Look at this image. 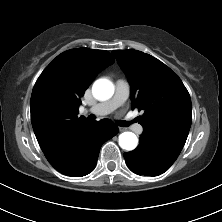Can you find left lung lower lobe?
Returning <instances> with one entry per match:
<instances>
[{
	"label": "left lung lower lobe",
	"instance_id": "1",
	"mask_svg": "<svg viewBox=\"0 0 222 222\" xmlns=\"http://www.w3.org/2000/svg\"><path fill=\"white\" fill-rule=\"evenodd\" d=\"M178 155L155 135H142L140 145L134 151L125 152L124 158L134 173L157 176L164 173Z\"/></svg>",
	"mask_w": 222,
	"mask_h": 222
}]
</instances>
